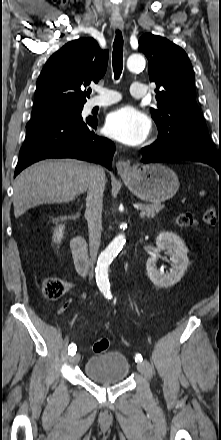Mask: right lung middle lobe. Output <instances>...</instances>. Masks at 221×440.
<instances>
[{
    "label": "right lung middle lobe",
    "mask_w": 221,
    "mask_h": 440,
    "mask_svg": "<svg viewBox=\"0 0 221 440\" xmlns=\"http://www.w3.org/2000/svg\"><path fill=\"white\" fill-rule=\"evenodd\" d=\"M83 106L73 107H52L32 111L31 118L46 115H67L70 117H81Z\"/></svg>",
    "instance_id": "obj_1"
}]
</instances>
